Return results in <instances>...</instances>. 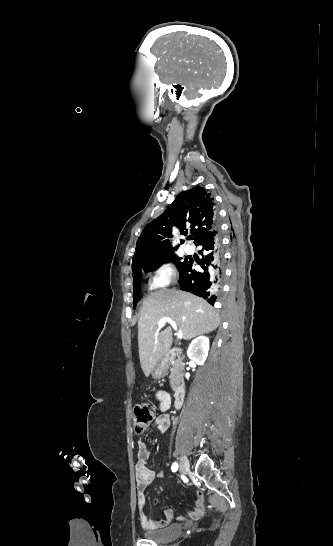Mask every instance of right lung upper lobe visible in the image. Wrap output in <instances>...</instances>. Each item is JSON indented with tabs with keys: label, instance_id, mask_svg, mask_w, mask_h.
Listing matches in <instances>:
<instances>
[{
	"label": "right lung upper lobe",
	"instance_id": "1",
	"mask_svg": "<svg viewBox=\"0 0 333 546\" xmlns=\"http://www.w3.org/2000/svg\"><path fill=\"white\" fill-rule=\"evenodd\" d=\"M214 198L203 188L194 187L178 195L157 219L149 223L139 236L133 257V276L158 266L172 248L168 238L173 226L194 232L195 242L216 227ZM183 234H187L183 232ZM183 242V241H181Z\"/></svg>",
	"mask_w": 333,
	"mask_h": 546
}]
</instances>
